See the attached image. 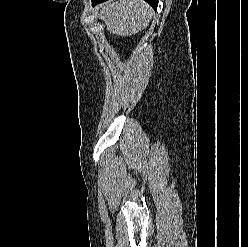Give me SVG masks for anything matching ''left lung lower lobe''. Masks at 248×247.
<instances>
[{
    "mask_svg": "<svg viewBox=\"0 0 248 247\" xmlns=\"http://www.w3.org/2000/svg\"><path fill=\"white\" fill-rule=\"evenodd\" d=\"M104 1L106 0H92V6H95ZM145 1L148 2L156 10L157 5H158V0H145Z\"/></svg>",
    "mask_w": 248,
    "mask_h": 247,
    "instance_id": "0a47b994",
    "label": "left lung lower lobe"
}]
</instances>
